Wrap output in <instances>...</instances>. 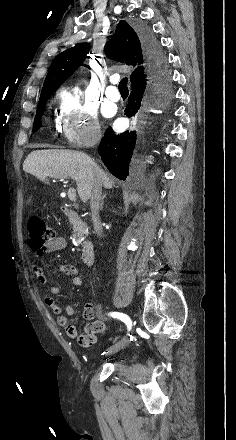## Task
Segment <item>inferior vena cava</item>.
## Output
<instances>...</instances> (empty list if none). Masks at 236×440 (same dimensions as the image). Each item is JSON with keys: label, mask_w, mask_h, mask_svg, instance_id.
<instances>
[{"label": "inferior vena cava", "mask_w": 236, "mask_h": 440, "mask_svg": "<svg viewBox=\"0 0 236 440\" xmlns=\"http://www.w3.org/2000/svg\"><path fill=\"white\" fill-rule=\"evenodd\" d=\"M100 139V136L96 137V141ZM102 195V184L100 181V178L97 177L92 192L90 195V208H91V214H92V220L94 224L95 231L97 232L98 236L102 235V227H101V221L99 216V204L100 199Z\"/></svg>", "instance_id": "inferior-vena-cava-1"}]
</instances>
